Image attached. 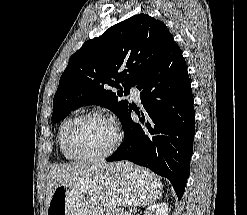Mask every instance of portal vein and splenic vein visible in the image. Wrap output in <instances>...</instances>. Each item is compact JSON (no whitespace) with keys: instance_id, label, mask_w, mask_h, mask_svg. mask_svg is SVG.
<instances>
[{"instance_id":"obj_1","label":"portal vein and splenic vein","mask_w":247,"mask_h":215,"mask_svg":"<svg viewBox=\"0 0 247 215\" xmlns=\"http://www.w3.org/2000/svg\"><path fill=\"white\" fill-rule=\"evenodd\" d=\"M125 215H131V213L130 212H125Z\"/></svg>"}]
</instances>
